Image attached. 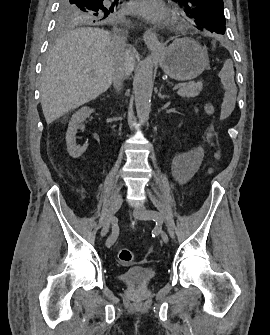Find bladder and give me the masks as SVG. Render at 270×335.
<instances>
[{"label": "bladder", "mask_w": 270, "mask_h": 335, "mask_svg": "<svg viewBox=\"0 0 270 335\" xmlns=\"http://www.w3.org/2000/svg\"><path fill=\"white\" fill-rule=\"evenodd\" d=\"M151 277L152 273L148 268H131L119 275L122 281L133 287L146 286Z\"/></svg>", "instance_id": "obj_1"}]
</instances>
